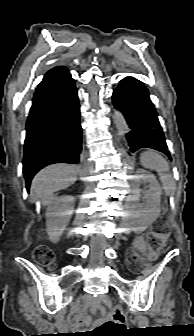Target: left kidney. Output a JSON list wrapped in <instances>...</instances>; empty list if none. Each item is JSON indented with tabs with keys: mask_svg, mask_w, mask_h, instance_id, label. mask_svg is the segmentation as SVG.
I'll return each instance as SVG.
<instances>
[{
	"mask_svg": "<svg viewBox=\"0 0 194 336\" xmlns=\"http://www.w3.org/2000/svg\"><path fill=\"white\" fill-rule=\"evenodd\" d=\"M132 192L128 197L130 206L129 214L134 227L138 231L146 230L160 215L161 211V187L156 177L144 170H137L132 177ZM149 184V190L145 194V205L139 204L142 190L141 184Z\"/></svg>",
	"mask_w": 194,
	"mask_h": 336,
	"instance_id": "5707ae66",
	"label": "left kidney"
}]
</instances>
